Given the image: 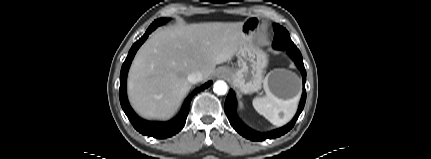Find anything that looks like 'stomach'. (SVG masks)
I'll return each instance as SVG.
<instances>
[{"instance_id": "stomach-1", "label": "stomach", "mask_w": 431, "mask_h": 159, "mask_svg": "<svg viewBox=\"0 0 431 159\" xmlns=\"http://www.w3.org/2000/svg\"><path fill=\"white\" fill-rule=\"evenodd\" d=\"M261 25V20L256 16L248 17L243 22L245 40L236 55L237 65L229 68V79L233 86L245 94L259 91L263 83L277 98L292 99L299 95L301 89V82L296 74L274 70L264 79L267 55L254 42Z\"/></svg>"}]
</instances>
